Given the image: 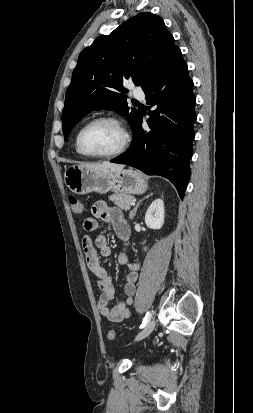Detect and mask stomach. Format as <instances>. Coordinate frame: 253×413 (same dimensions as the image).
Masks as SVG:
<instances>
[{
    "label": "stomach",
    "mask_w": 253,
    "mask_h": 413,
    "mask_svg": "<svg viewBox=\"0 0 253 413\" xmlns=\"http://www.w3.org/2000/svg\"><path fill=\"white\" fill-rule=\"evenodd\" d=\"M64 182L72 193L88 194L97 192L105 194L118 191L124 194H142L148 184L137 170L94 171L81 166H70L64 173Z\"/></svg>",
    "instance_id": "stomach-1"
}]
</instances>
